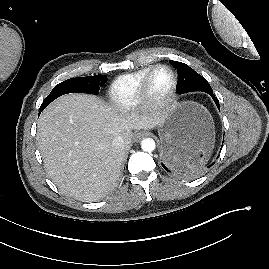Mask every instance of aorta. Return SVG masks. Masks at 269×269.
<instances>
[{"label": "aorta", "instance_id": "obj_1", "mask_svg": "<svg viewBox=\"0 0 269 269\" xmlns=\"http://www.w3.org/2000/svg\"><path fill=\"white\" fill-rule=\"evenodd\" d=\"M156 144L152 138H146L141 141V148L145 152H152L155 150Z\"/></svg>", "mask_w": 269, "mask_h": 269}]
</instances>
